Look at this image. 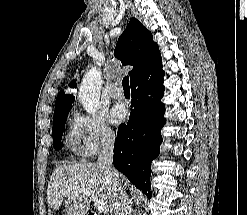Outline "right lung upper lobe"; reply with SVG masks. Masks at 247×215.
<instances>
[{
  "instance_id": "right-lung-upper-lobe-1",
  "label": "right lung upper lobe",
  "mask_w": 247,
  "mask_h": 215,
  "mask_svg": "<svg viewBox=\"0 0 247 215\" xmlns=\"http://www.w3.org/2000/svg\"><path fill=\"white\" fill-rule=\"evenodd\" d=\"M114 55L123 65H133L129 72L130 80L145 68L150 66L159 56L158 45L153 41L152 34L136 18H132L127 28L119 37ZM76 87V82L70 84ZM74 96L66 95L60 91L55 101L54 115L70 109Z\"/></svg>"
}]
</instances>
